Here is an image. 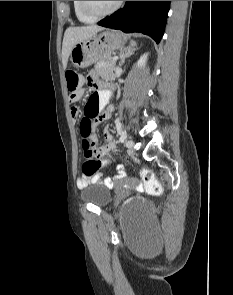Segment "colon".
I'll return each instance as SVG.
<instances>
[{"label":"colon","mask_w":233,"mask_h":295,"mask_svg":"<svg viewBox=\"0 0 233 295\" xmlns=\"http://www.w3.org/2000/svg\"><path fill=\"white\" fill-rule=\"evenodd\" d=\"M67 87L70 92V97L75 98L84 93V78L76 71L66 72ZM80 132L83 141L85 162L82 166V171L85 176H91L98 170L112 161L110 158L102 159V153L98 147V142L93 134L92 121L89 118H84L80 125ZM145 189L152 195H160L162 193V185L156 179L152 170L142 168L140 171Z\"/></svg>","instance_id":"obj_1"}]
</instances>
